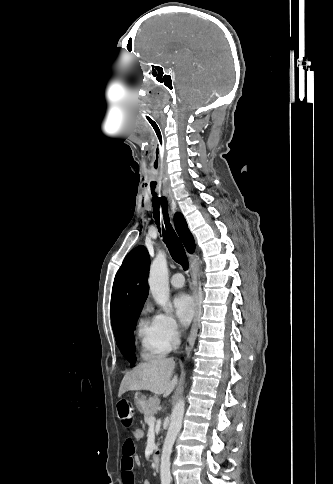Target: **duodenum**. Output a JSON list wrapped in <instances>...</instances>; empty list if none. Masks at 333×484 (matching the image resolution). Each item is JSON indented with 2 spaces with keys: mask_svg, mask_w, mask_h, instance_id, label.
<instances>
[{
  "mask_svg": "<svg viewBox=\"0 0 333 484\" xmlns=\"http://www.w3.org/2000/svg\"><path fill=\"white\" fill-rule=\"evenodd\" d=\"M160 456H161L160 449H156L154 451L153 457H152L155 469H159V467H160Z\"/></svg>",
  "mask_w": 333,
  "mask_h": 484,
  "instance_id": "obj_1",
  "label": "duodenum"
}]
</instances>
